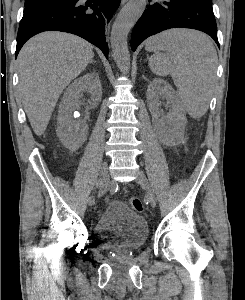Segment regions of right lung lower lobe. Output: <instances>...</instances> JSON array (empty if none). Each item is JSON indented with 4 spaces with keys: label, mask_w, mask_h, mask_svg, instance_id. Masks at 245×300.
<instances>
[{
    "label": "right lung lower lobe",
    "mask_w": 245,
    "mask_h": 300,
    "mask_svg": "<svg viewBox=\"0 0 245 300\" xmlns=\"http://www.w3.org/2000/svg\"><path fill=\"white\" fill-rule=\"evenodd\" d=\"M121 0H66L23 14L20 21L17 55L23 44L32 36L48 30L78 35L102 50L108 58L105 26Z\"/></svg>",
    "instance_id": "1"
}]
</instances>
